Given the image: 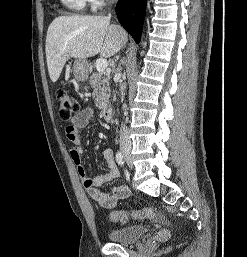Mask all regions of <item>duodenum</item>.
<instances>
[{"label":"duodenum","mask_w":247,"mask_h":257,"mask_svg":"<svg viewBox=\"0 0 247 257\" xmlns=\"http://www.w3.org/2000/svg\"><path fill=\"white\" fill-rule=\"evenodd\" d=\"M101 113H102L103 118L106 121H110L112 119L113 110H112L111 106L106 105V106L102 107Z\"/></svg>","instance_id":"duodenum-1"}]
</instances>
